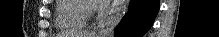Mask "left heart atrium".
<instances>
[{
    "mask_svg": "<svg viewBox=\"0 0 219 37\" xmlns=\"http://www.w3.org/2000/svg\"><path fill=\"white\" fill-rule=\"evenodd\" d=\"M105 3V0H94L95 7L97 8H101Z\"/></svg>",
    "mask_w": 219,
    "mask_h": 37,
    "instance_id": "obj_1",
    "label": "left heart atrium"
}]
</instances>
